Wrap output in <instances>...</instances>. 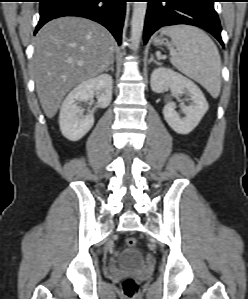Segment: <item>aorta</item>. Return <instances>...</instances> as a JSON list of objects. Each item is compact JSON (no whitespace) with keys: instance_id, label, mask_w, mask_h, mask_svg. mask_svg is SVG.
Returning a JSON list of instances; mask_svg holds the SVG:
<instances>
[{"instance_id":"aorta-1","label":"aorta","mask_w":248,"mask_h":299,"mask_svg":"<svg viewBox=\"0 0 248 299\" xmlns=\"http://www.w3.org/2000/svg\"><path fill=\"white\" fill-rule=\"evenodd\" d=\"M147 11V2H134L131 19V42L132 48L136 52L142 37L145 15Z\"/></svg>"}]
</instances>
